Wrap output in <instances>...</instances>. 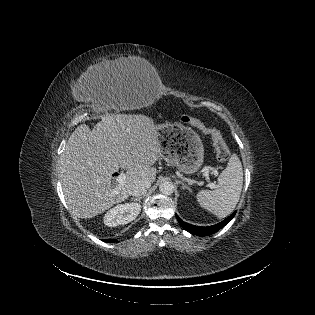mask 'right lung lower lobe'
Returning <instances> with one entry per match:
<instances>
[{"instance_id":"98d812e1","label":"right lung lower lobe","mask_w":315,"mask_h":315,"mask_svg":"<svg viewBox=\"0 0 315 315\" xmlns=\"http://www.w3.org/2000/svg\"><path fill=\"white\" fill-rule=\"evenodd\" d=\"M104 241H105V242H109V243H113V242H115V240H114V239H105Z\"/></svg>"}]
</instances>
